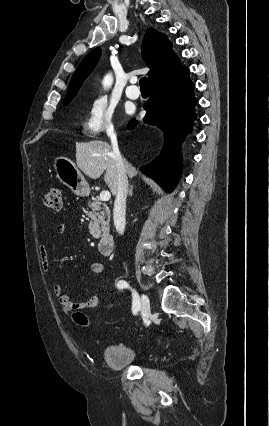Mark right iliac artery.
<instances>
[{
    "instance_id": "right-iliac-artery-1",
    "label": "right iliac artery",
    "mask_w": 269,
    "mask_h": 426,
    "mask_svg": "<svg viewBox=\"0 0 269 426\" xmlns=\"http://www.w3.org/2000/svg\"><path fill=\"white\" fill-rule=\"evenodd\" d=\"M118 286L120 288H129V289H131V291H132V312H133L134 315L137 314V312L141 308L140 298H139L138 293L134 289H132L129 286V284L127 282H125V281H120L118 283Z\"/></svg>"
}]
</instances>
